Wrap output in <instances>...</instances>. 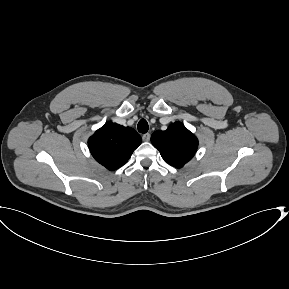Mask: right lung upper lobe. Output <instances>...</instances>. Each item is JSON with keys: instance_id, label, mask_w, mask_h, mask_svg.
Instances as JSON below:
<instances>
[{"instance_id": "obj_1", "label": "right lung upper lobe", "mask_w": 289, "mask_h": 289, "mask_svg": "<svg viewBox=\"0 0 289 289\" xmlns=\"http://www.w3.org/2000/svg\"><path fill=\"white\" fill-rule=\"evenodd\" d=\"M141 142L134 129L110 122L89 138L88 146L95 160L113 171L129 160Z\"/></svg>"}]
</instances>
